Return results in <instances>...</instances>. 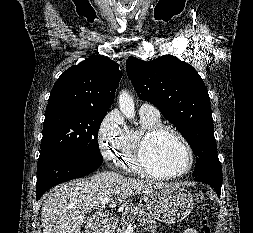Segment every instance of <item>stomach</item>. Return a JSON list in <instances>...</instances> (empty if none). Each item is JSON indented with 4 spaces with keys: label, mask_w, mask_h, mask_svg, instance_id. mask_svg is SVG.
I'll return each instance as SVG.
<instances>
[{
    "label": "stomach",
    "mask_w": 253,
    "mask_h": 233,
    "mask_svg": "<svg viewBox=\"0 0 253 233\" xmlns=\"http://www.w3.org/2000/svg\"><path fill=\"white\" fill-rule=\"evenodd\" d=\"M144 199L151 216L169 225L184 220L194 205L192 194L177 184L157 187L147 192Z\"/></svg>",
    "instance_id": "stomach-1"
}]
</instances>
